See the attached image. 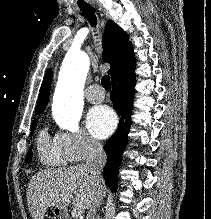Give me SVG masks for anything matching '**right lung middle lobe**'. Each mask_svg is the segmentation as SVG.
<instances>
[{"label":"right lung middle lobe","instance_id":"1","mask_svg":"<svg viewBox=\"0 0 211 219\" xmlns=\"http://www.w3.org/2000/svg\"><path fill=\"white\" fill-rule=\"evenodd\" d=\"M36 114H40V113H36ZM37 124V120H35L33 123H32V126H31V131L34 130L35 126ZM32 159V149L30 148L29 149V152H28V155H27V163H29Z\"/></svg>","mask_w":211,"mask_h":219}]
</instances>
